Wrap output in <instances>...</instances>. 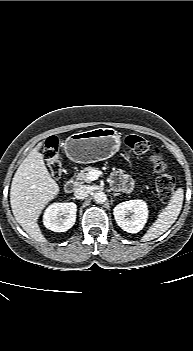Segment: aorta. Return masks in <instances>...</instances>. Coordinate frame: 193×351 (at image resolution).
Listing matches in <instances>:
<instances>
[{"label": "aorta", "mask_w": 193, "mask_h": 351, "mask_svg": "<svg viewBox=\"0 0 193 351\" xmlns=\"http://www.w3.org/2000/svg\"><path fill=\"white\" fill-rule=\"evenodd\" d=\"M94 201L96 203L102 204L107 200V196L104 192L102 191H97L93 195Z\"/></svg>", "instance_id": "1"}]
</instances>
